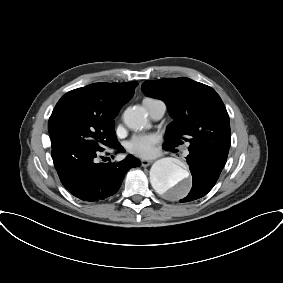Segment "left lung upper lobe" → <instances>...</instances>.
<instances>
[{
    "mask_svg": "<svg viewBox=\"0 0 283 283\" xmlns=\"http://www.w3.org/2000/svg\"><path fill=\"white\" fill-rule=\"evenodd\" d=\"M142 89L146 95L161 97L173 118L166 129L165 148L185 140L189 152L226 162L231 144L230 121L214 89L186 77L147 80Z\"/></svg>",
    "mask_w": 283,
    "mask_h": 283,
    "instance_id": "obj_1",
    "label": "left lung upper lobe"
}]
</instances>
